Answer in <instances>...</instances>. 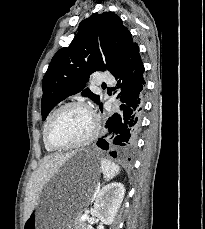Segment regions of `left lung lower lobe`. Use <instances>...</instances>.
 Returning <instances> with one entry per match:
<instances>
[{
	"label": "left lung lower lobe",
	"instance_id": "1",
	"mask_svg": "<svg viewBox=\"0 0 205 229\" xmlns=\"http://www.w3.org/2000/svg\"><path fill=\"white\" fill-rule=\"evenodd\" d=\"M144 71L139 47L133 43L126 50L112 74L117 80V85L121 88L120 99L123 102L120 106L121 114H115L109 118L106 125L109 128V133L116 134L113 140L114 151L110 152L111 156L115 158L117 155L120 157L129 156L136 147L144 105ZM97 145L106 150L109 148L107 141L102 138L98 140Z\"/></svg>",
	"mask_w": 205,
	"mask_h": 229
}]
</instances>
